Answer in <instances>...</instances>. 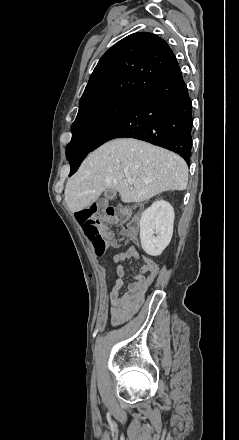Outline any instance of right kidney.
<instances>
[{
	"label": "right kidney",
	"mask_w": 239,
	"mask_h": 440,
	"mask_svg": "<svg viewBox=\"0 0 239 440\" xmlns=\"http://www.w3.org/2000/svg\"><path fill=\"white\" fill-rule=\"evenodd\" d=\"M174 210L169 202L158 200L140 218V240L148 257L169 247L173 236Z\"/></svg>",
	"instance_id": "1"
}]
</instances>
